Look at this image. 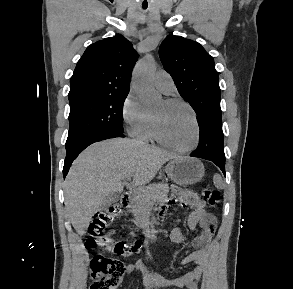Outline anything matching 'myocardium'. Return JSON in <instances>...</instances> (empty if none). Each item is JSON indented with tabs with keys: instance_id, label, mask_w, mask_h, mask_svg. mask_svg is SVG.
I'll list each match as a JSON object with an SVG mask.
<instances>
[{
	"instance_id": "myocardium-1",
	"label": "myocardium",
	"mask_w": 293,
	"mask_h": 289,
	"mask_svg": "<svg viewBox=\"0 0 293 289\" xmlns=\"http://www.w3.org/2000/svg\"><path fill=\"white\" fill-rule=\"evenodd\" d=\"M165 102L170 105H183L190 111L192 118H193V121H194V126H195V138H194L193 143L190 146L185 147V148H180V147H176V146L172 145L171 143H169L168 141H166L164 139V137L161 134L158 121L152 115L151 121H152V133H153L154 139L162 146H164L172 151L178 152V153H190V152L194 151L199 146L200 139H201V129H200V124H199V120H198V116L196 114V111L188 102H186L185 100L179 99V98H168L165 100Z\"/></svg>"
}]
</instances>
